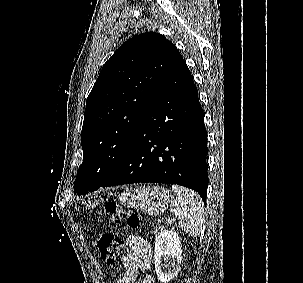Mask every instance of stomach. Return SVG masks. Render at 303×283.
I'll return each mask as SVG.
<instances>
[{
  "label": "stomach",
  "mask_w": 303,
  "mask_h": 283,
  "mask_svg": "<svg viewBox=\"0 0 303 283\" xmlns=\"http://www.w3.org/2000/svg\"><path fill=\"white\" fill-rule=\"evenodd\" d=\"M117 200L149 215H159L168 208L172 196L164 187L154 186L127 190L119 194Z\"/></svg>",
  "instance_id": "1"
}]
</instances>
